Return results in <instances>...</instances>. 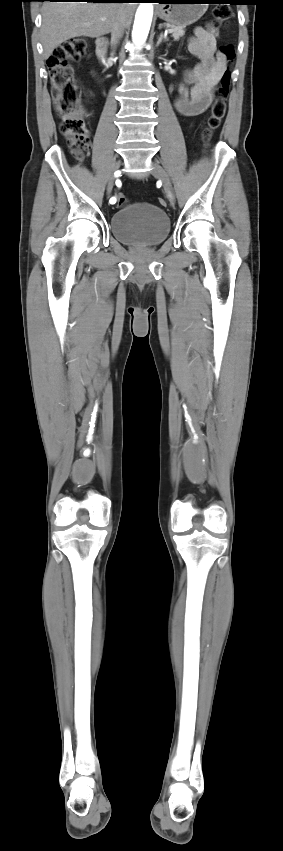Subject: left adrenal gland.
Returning a JSON list of instances; mask_svg holds the SVG:
<instances>
[{"instance_id": "left-adrenal-gland-1", "label": "left adrenal gland", "mask_w": 283, "mask_h": 851, "mask_svg": "<svg viewBox=\"0 0 283 851\" xmlns=\"http://www.w3.org/2000/svg\"><path fill=\"white\" fill-rule=\"evenodd\" d=\"M163 40L168 41V37H166L162 32V33H160V36H159L158 41L156 43V47H158Z\"/></svg>"}]
</instances>
